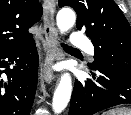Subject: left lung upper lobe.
<instances>
[{"label": "left lung upper lobe", "instance_id": "5c2ea615", "mask_svg": "<svg viewBox=\"0 0 131 115\" xmlns=\"http://www.w3.org/2000/svg\"><path fill=\"white\" fill-rule=\"evenodd\" d=\"M77 13L76 27L86 30L95 47L91 68L131 76V28L113 0H59Z\"/></svg>", "mask_w": 131, "mask_h": 115}]
</instances>
